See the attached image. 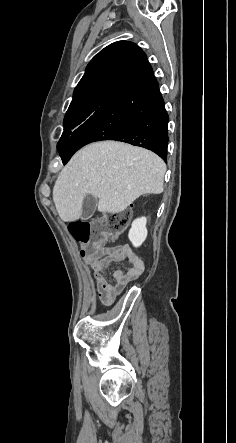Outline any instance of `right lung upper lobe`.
<instances>
[{
	"instance_id": "right-lung-upper-lobe-1",
	"label": "right lung upper lobe",
	"mask_w": 236,
	"mask_h": 443,
	"mask_svg": "<svg viewBox=\"0 0 236 443\" xmlns=\"http://www.w3.org/2000/svg\"><path fill=\"white\" fill-rule=\"evenodd\" d=\"M151 68L146 54L133 42L118 41L100 51L87 65L70 106L97 95H112L134 84Z\"/></svg>"
}]
</instances>
